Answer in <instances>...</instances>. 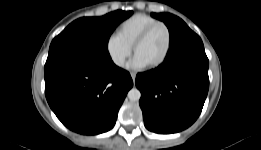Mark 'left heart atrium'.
Returning <instances> with one entry per match:
<instances>
[{"mask_svg": "<svg viewBox=\"0 0 261 150\" xmlns=\"http://www.w3.org/2000/svg\"><path fill=\"white\" fill-rule=\"evenodd\" d=\"M129 68L131 69H144L147 67L146 63L141 60L138 56H134L133 59L130 61Z\"/></svg>", "mask_w": 261, "mask_h": 150, "instance_id": "39dd6f15", "label": "left heart atrium"}]
</instances>
